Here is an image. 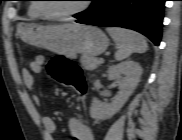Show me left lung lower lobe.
<instances>
[{"instance_id":"1","label":"left lung lower lobe","mask_w":182,"mask_h":140,"mask_svg":"<svg viewBox=\"0 0 182 140\" xmlns=\"http://www.w3.org/2000/svg\"><path fill=\"white\" fill-rule=\"evenodd\" d=\"M164 3L165 0H99L76 22L132 29L158 46L162 35Z\"/></svg>"}]
</instances>
